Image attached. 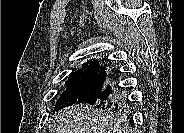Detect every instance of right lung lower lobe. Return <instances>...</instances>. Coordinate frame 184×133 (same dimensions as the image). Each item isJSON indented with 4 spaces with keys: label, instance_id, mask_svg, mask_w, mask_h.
Listing matches in <instances>:
<instances>
[{
    "label": "right lung lower lobe",
    "instance_id": "right-lung-lower-lobe-1",
    "mask_svg": "<svg viewBox=\"0 0 184 133\" xmlns=\"http://www.w3.org/2000/svg\"><path fill=\"white\" fill-rule=\"evenodd\" d=\"M117 73V72H115ZM115 76L114 73L105 74V87L99 93V95L93 100L91 104H108L113 103L115 105L126 104L125 97H123L122 90H120L117 82L112 81V78ZM111 82V85L109 84Z\"/></svg>",
    "mask_w": 184,
    "mask_h": 133
}]
</instances>
